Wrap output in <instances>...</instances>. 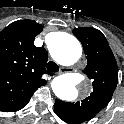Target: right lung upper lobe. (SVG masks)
Instances as JSON below:
<instances>
[{
	"mask_svg": "<svg viewBox=\"0 0 124 124\" xmlns=\"http://www.w3.org/2000/svg\"><path fill=\"white\" fill-rule=\"evenodd\" d=\"M43 26L34 20L13 22L0 32V110L14 112L28 104L33 93L46 84L43 74L47 52L34 45Z\"/></svg>",
	"mask_w": 124,
	"mask_h": 124,
	"instance_id": "cb5924a9",
	"label": "right lung upper lobe"
}]
</instances>
